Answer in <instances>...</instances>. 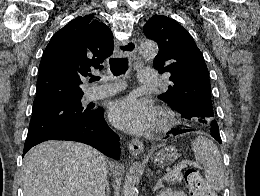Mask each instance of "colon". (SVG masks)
<instances>
[{
    "label": "colon",
    "mask_w": 260,
    "mask_h": 196,
    "mask_svg": "<svg viewBox=\"0 0 260 196\" xmlns=\"http://www.w3.org/2000/svg\"><path fill=\"white\" fill-rule=\"evenodd\" d=\"M185 177L187 179V188L189 192H196L203 187L204 181L199 178L197 169L189 167L185 170Z\"/></svg>",
    "instance_id": "colon-1"
}]
</instances>
